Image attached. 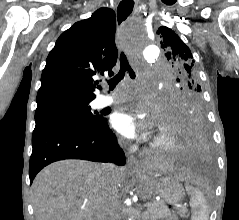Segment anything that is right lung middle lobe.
<instances>
[{"mask_svg":"<svg viewBox=\"0 0 239 220\" xmlns=\"http://www.w3.org/2000/svg\"><path fill=\"white\" fill-rule=\"evenodd\" d=\"M102 121L97 112H91L89 103L51 105L37 108L35 113V127L66 126L91 130Z\"/></svg>","mask_w":239,"mask_h":220,"instance_id":"right-lung-middle-lobe-1","label":"right lung middle lobe"}]
</instances>
